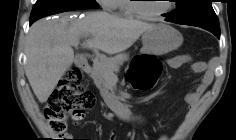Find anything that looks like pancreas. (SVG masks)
Segmentation results:
<instances>
[{"label": "pancreas", "instance_id": "cf45deb5", "mask_svg": "<svg viewBox=\"0 0 236 140\" xmlns=\"http://www.w3.org/2000/svg\"><path fill=\"white\" fill-rule=\"evenodd\" d=\"M127 59V55H119L114 58H102L94 61L91 77L96 86L108 95L113 96L114 90L110 80Z\"/></svg>", "mask_w": 236, "mask_h": 140}]
</instances>
